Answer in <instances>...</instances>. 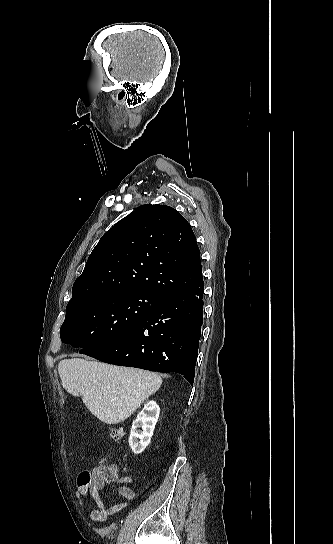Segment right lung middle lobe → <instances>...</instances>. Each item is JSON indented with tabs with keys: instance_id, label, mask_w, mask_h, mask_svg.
Segmentation results:
<instances>
[{
	"instance_id": "right-lung-middle-lobe-1",
	"label": "right lung middle lobe",
	"mask_w": 333,
	"mask_h": 544,
	"mask_svg": "<svg viewBox=\"0 0 333 544\" xmlns=\"http://www.w3.org/2000/svg\"><path fill=\"white\" fill-rule=\"evenodd\" d=\"M163 300L147 292L105 293L68 303L60 329L63 343L80 353L131 330Z\"/></svg>"
}]
</instances>
